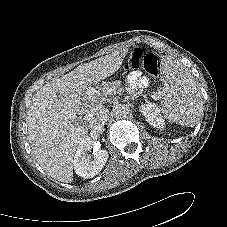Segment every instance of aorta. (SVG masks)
<instances>
[{
  "label": "aorta",
  "mask_w": 227,
  "mask_h": 227,
  "mask_svg": "<svg viewBox=\"0 0 227 227\" xmlns=\"http://www.w3.org/2000/svg\"><path fill=\"white\" fill-rule=\"evenodd\" d=\"M112 113L116 118L122 119L128 116L130 110L126 105L118 104L114 106V108L112 109Z\"/></svg>",
  "instance_id": "1"
}]
</instances>
